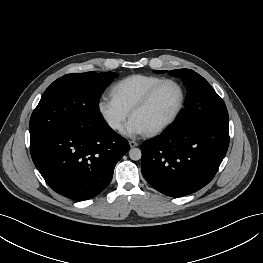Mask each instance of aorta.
Returning a JSON list of instances; mask_svg holds the SVG:
<instances>
[{
	"label": "aorta",
	"instance_id": "1",
	"mask_svg": "<svg viewBox=\"0 0 263 263\" xmlns=\"http://www.w3.org/2000/svg\"><path fill=\"white\" fill-rule=\"evenodd\" d=\"M142 153L141 150L138 148H132L129 150V157L130 159L137 161L141 159Z\"/></svg>",
	"mask_w": 263,
	"mask_h": 263
}]
</instances>
